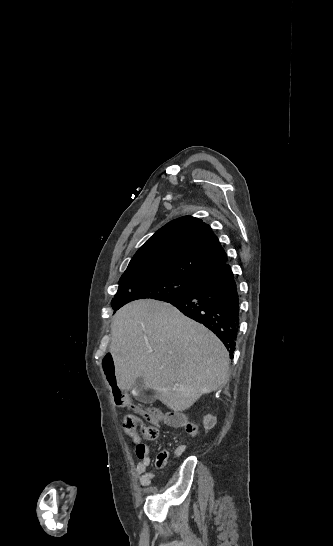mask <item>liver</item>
I'll list each match as a JSON object with an SVG mask.
<instances>
[{
  "label": "liver",
  "instance_id": "1",
  "mask_svg": "<svg viewBox=\"0 0 333 546\" xmlns=\"http://www.w3.org/2000/svg\"><path fill=\"white\" fill-rule=\"evenodd\" d=\"M110 353L119 389H132L142 376L144 387L174 412L190 408L229 377V354L216 335L162 301L138 300L119 309Z\"/></svg>",
  "mask_w": 333,
  "mask_h": 546
}]
</instances>
